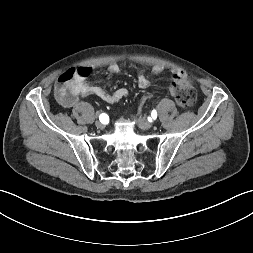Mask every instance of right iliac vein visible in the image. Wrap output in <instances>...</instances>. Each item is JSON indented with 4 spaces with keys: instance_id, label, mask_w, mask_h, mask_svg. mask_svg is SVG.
<instances>
[{
    "instance_id": "right-iliac-vein-1",
    "label": "right iliac vein",
    "mask_w": 253,
    "mask_h": 253,
    "mask_svg": "<svg viewBox=\"0 0 253 253\" xmlns=\"http://www.w3.org/2000/svg\"><path fill=\"white\" fill-rule=\"evenodd\" d=\"M95 126L99 129H102L104 127V124L101 121H96Z\"/></svg>"
}]
</instances>
